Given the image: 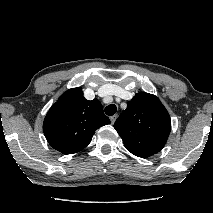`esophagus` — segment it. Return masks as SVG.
<instances>
[{"label": "esophagus", "instance_id": "1", "mask_svg": "<svg viewBox=\"0 0 213 213\" xmlns=\"http://www.w3.org/2000/svg\"><path fill=\"white\" fill-rule=\"evenodd\" d=\"M117 119V115H113L110 117V121H111V124H114V122L116 121Z\"/></svg>", "mask_w": 213, "mask_h": 213}]
</instances>
